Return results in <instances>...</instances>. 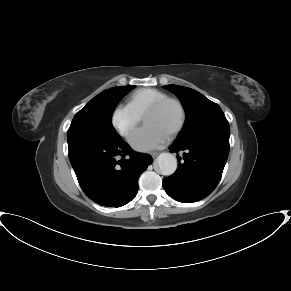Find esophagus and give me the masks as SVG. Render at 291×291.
<instances>
[{
	"label": "esophagus",
	"instance_id": "esophagus-1",
	"mask_svg": "<svg viewBox=\"0 0 291 291\" xmlns=\"http://www.w3.org/2000/svg\"><path fill=\"white\" fill-rule=\"evenodd\" d=\"M151 155L153 158H156L159 155V152H153Z\"/></svg>",
	"mask_w": 291,
	"mask_h": 291
}]
</instances>
